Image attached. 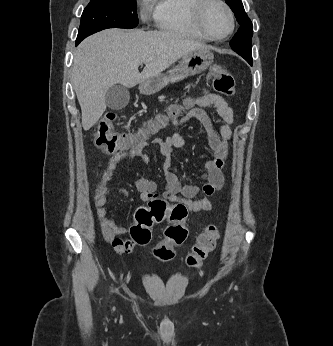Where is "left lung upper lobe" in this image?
Returning <instances> with one entry per match:
<instances>
[{
  "label": "left lung upper lobe",
  "mask_w": 333,
  "mask_h": 346,
  "mask_svg": "<svg viewBox=\"0 0 333 346\" xmlns=\"http://www.w3.org/2000/svg\"><path fill=\"white\" fill-rule=\"evenodd\" d=\"M235 13V17L240 25L237 33L232 39L230 46L252 65L251 40L253 35V25L247 16L241 0H225Z\"/></svg>",
  "instance_id": "1"
}]
</instances>
